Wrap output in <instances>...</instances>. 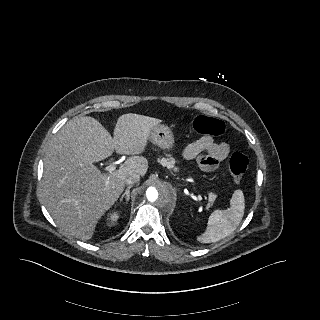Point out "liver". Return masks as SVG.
Instances as JSON below:
<instances>
[{
    "mask_svg": "<svg viewBox=\"0 0 320 320\" xmlns=\"http://www.w3.org/2000/svg\"><path fill=\"white\" fill-rule=\"evenodd\" d=\"M161 120L127 113L121 115L114 137L93 117L68 121L51 141L44 159L42 196L56 224L70 235L92 238L104 213L118 200L131 174L144 176L145 151L151 129ZM116 151L131 155L113 172L102 173L94 163Z\"/></svg>",
    "mask_w": 320,
    "mask_h": 320,
    "instance_id": "liver-1",
    "label": "liver"
}]
</instances>
